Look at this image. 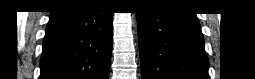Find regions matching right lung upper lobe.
I'll list each match as a JSON object with an SVG mask.
<instances>
[{
  "mask_svg": "<svg viewBox=\"0 0 255 79\" xmlns=\"http://www.w3.org/2000/svg\"><path fill=\"white\" fill-rule=\"evenodd\" d=\"M85 1L83 0H62L59 2L58 6H67V5H73V4H78V3H83Z\"/></svg>",
  "mask_w": 255,
  "mask_h": 79,
  "instance_id": "right-lung-upper-lobe-1",
  "label": "right lung upper lobe"
}]
</instances>
